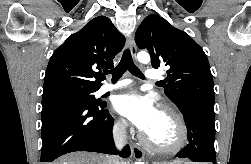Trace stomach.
<instances>
[{
  "label": "stomach",
  "mask_w": 251,
  "mask_h": 164,
  "mask_svg": "<svg viewBox=\"0 0 251 164\" xmlns=\"http://www.w3.org/2000/svg\"><path fill=\"white\" fill-rule=\"evenodd\" d=\"M153 164H187V162H185V163H182V161H181V163H174V162H171V163H166V162H155V163H153Z\"/></svg>",
  "instance_id": "0dacf381"
}]
</instances>
